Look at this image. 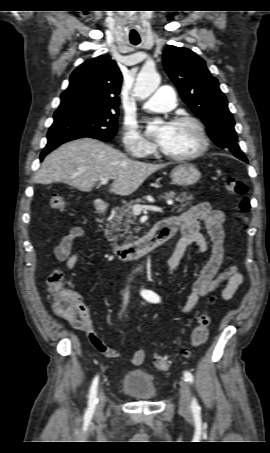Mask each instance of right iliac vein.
Returning a JSON list of instances; mask_svg holds the SVG:
<instances>
[{
    "mask_svg": "<svg viewBox=\"0 0 270 453\" xmlns=\"http://www.w3.org/2000/svg\"><path fill=\"white\" fill-rule=\"evenodd\" d=\"M104 406V394L101 393L99 396V402L97 404L96 412L97 414H101Z\"/></svg>",
    "mask_w": 270,
    "mask_h": 453,
    "instance_id": "right-iliac-vein-1",
    "label": "right iliac vein"
}]
</instances>
